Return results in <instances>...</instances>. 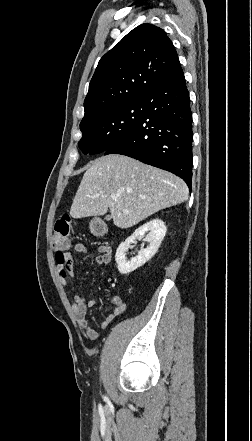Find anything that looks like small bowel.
Returning a JSON list of instances; mask_svg holds the SVG:
<instances>
[{"label": "small bowel", "instance_id": "small-bowel-1", "mask_svg": "<svg viewBox=\"0 0 252 441\" xmlns=\"http://www.w3.org/2000/svg\"><path fill=\"white\" fill-rule=\"evenodd\" d=\"M73 248L77 253H89L87 247L82 243H76ZM99 251L100 254L95 258L96 264L98 266H102L110 263L112 259L110 248L102 246L100 247ZM73 261V255L67 254L65 262H58L57 270L60 274V281L64 288L67 286L66 275L69 274L73 276ZM72 302L73 311L82 333L91 340L97 339L99 337V332L94 329L87 320V309L94 307L96 305V301L93 299L86 300L83 296L75 294L72 297ZM110 302L114 305V310L113 313L106 315L105 318L100 321L99 327L102 330L106 329L108 325L115 319V317L123 314L126 310V303L120 296H111Z\"/></svg>", "mask_w": 252, "mask_h": 441}]
</instances>
